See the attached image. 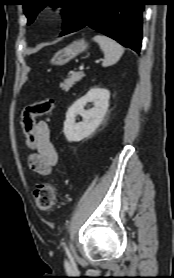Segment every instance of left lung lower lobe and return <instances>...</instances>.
Returning a JSON list of instances; mask_svg holds the SVG:
<instances>
[{
    "instance_id": "obj_1",
    "label": "left lung lower lobe",
    "mask_w": 174,
    "mask_h": 278,
    "mask_svg": "<svg viewBox=\"0 0 174 278\" xmlns=\"http://www.w3.org/2000/svg\"><path fill=\"white\" fill-rule=\"evenodd\" d=\"M146 0H82L60 36L90 27L139 53Z\"/></svg>"
}]
</instances>
